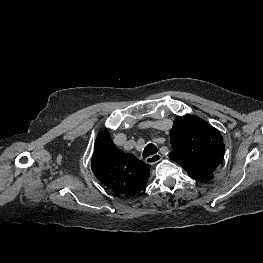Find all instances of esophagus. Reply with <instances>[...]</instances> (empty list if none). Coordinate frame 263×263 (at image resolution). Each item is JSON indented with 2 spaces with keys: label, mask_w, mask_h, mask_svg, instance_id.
<instances>
[{
  "label": "esophagus",
  "mask_w": 263,
  "mask_h": 263,
  "mask_svg": "<svg viewBox=\"0 0 263 263\" xmlns=\"http://www.w3.org/2000/svg\"><path fill=\"white\" fill-rule=\"evenodd\" d=\"M161 159H162L161 154L156 153V154H153V155L147 157L145 161L149 165H154V164L158 163Z\"/></svg>",
  "instance_id": "1"
}]
</instances>
